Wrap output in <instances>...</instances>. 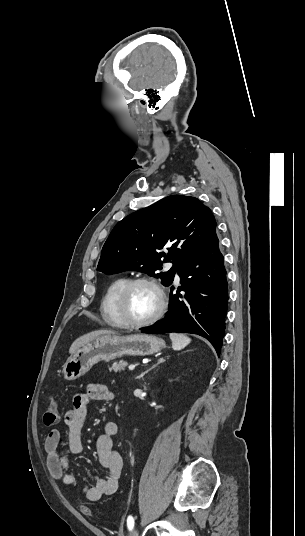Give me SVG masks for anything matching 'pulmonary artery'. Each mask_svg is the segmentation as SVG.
I'll list each match as a JSON object with an SVG mask.
<instances>
[{
	"label": "pulmonary artery",
	"mask_w": 305,
	"mask_h": 536,
	"mask_svg": "<svg viewBox=\"0 0 305 536\" xmlns=\"http://www.w3.org/2000/svg\"><path fill=\"white\" fill-rule=\"evenodd\" d=\"M166 266H167L168 269H170V268L173 267V263H172V262H168V263L166 264ZM179 280H180V275H179L178 271L175 270V281H176V282H179Z\"/></svg>",
	"instance_id": "obj_1"
}]
</instances>
